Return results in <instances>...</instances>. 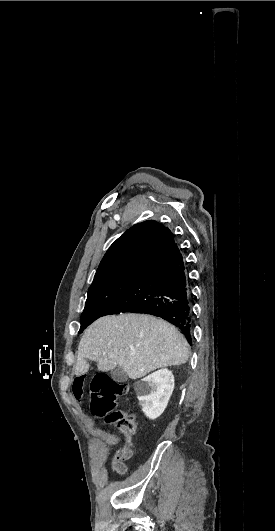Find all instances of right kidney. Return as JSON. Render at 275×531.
Masks as SVG:
<instances>
[{
  "label": "right kidney",
  "mask_w": 275,
  "mask_h": 531,
  "mask_svg": "<svg viewBox=\"0 0 275 531\" xmlns=\"http://www.w3.org/2000/svg\"><path fill=\"white\" fill-rule=\"evenodd\" d=\"M174 377L168 369H160L134 383L139 405L148 419H157L165 411L173 393Z\"/></svg>",
  "instance_id": "obj_1"
}]
</instances>
